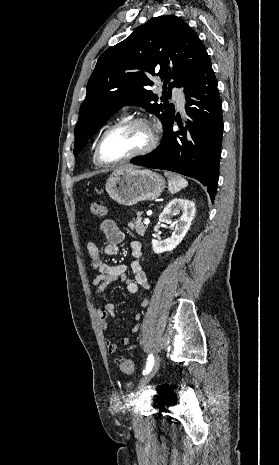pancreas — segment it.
Instances as JSON below:
<instances>
[{
  "label": "pancreas",
  "mask_w": 279,
  "mask_h": 465,
  "mask_svg": "<svg viewBox=\"0 0 279 465\" xmlns=\"http://www.w3.org/2000/svg\"><path fill=\"white\" fill-rule=\"evenodd\" d=\"M137 216L138 218L136 220L133 219V221L128 223V227L131 230H135L139 236H144L145 230L147 229L148 226L143 224L142 218L140 217L141 216L140 212L137 213Z\"/></svg>",
  "instance_id": "cf45deb5"
}]
</instances>
